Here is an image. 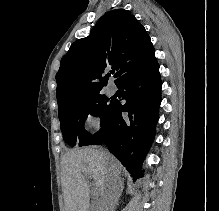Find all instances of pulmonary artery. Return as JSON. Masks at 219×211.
<instances>
[{"label": "pulmonary artery", "mask_w": 219, "mask_h": 211, "mask_svg": "<svg viewBox=\"0 0 219 211\" xmlns=\"http://www.w3.org/2000/svg\"><path fill=\"white\" fill-rule=\"evenodd\" d=\"M115 93H116V87L110 85V86L108 87V94H109V95H114Z\"/></svg>", "instance_id": "obj_1"}]
</instances>
